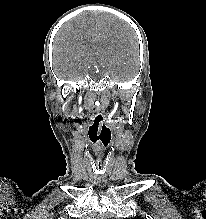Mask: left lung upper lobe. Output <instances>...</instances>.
Returning <instances> with one entry per match:
<instances>
[{
  "instance_id": "left-lung-upper-lobe-1",
  "label": "left lung upper lobe",
  "mask_w": 206,
  "mask_h": 219,
  "mask_svg": "<svg viewBox=\"0 0 206 219\" xmlns=\"http://www.w3.org/2000/svg\"><path fill=\"white\" fill-rule=\"evenodd\" d=\"M133 219H143V218H133Z\"/></svg>"
}]
</instances>
